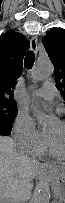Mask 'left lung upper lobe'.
<instances>
[{"instance_id":"1","label":"left lung upper lobe","mask_w":65,"mask_h":203,"mask_svg":"<svg viewBox=\"0 0 65 203\" xmlns=\"http://www.w3.org/2000/svg\"><path fill=\"white\" fill-rule=\"evenodd\" d=\"M43 44L55 67V83L65 100V30L51 29L43 38Z\"/></svg>"}]
</instances>
